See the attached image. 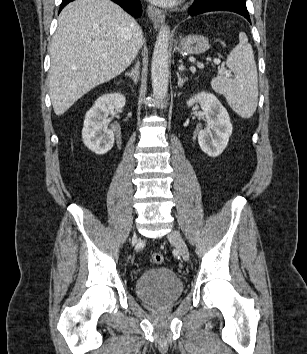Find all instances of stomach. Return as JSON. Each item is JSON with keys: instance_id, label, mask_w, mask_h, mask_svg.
Returning a JSON list of instances; mask_svg holds the SVG:
<instances>
[{"instance_id": "stomach-1", "label": "stomach", "mask_w": 307, "mask_h": 354, "mask_svg": "<svg viewBox=\"0 0 307 354\" xmlns=\"http://www.w3.org/2000/svg\"><path fill=\"white\" fill-rule=\"evenodd\" d=\"M210 48L209 41L203 35L189 34L183 37L177 45L181 54L197 55L206 52Z\"/></svg>"}]
</instances>
